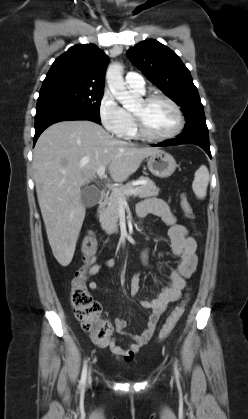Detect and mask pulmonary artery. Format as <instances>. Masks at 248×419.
I'll return each mask as SVG.
<instances>
[{"instance_id":"e3ab8cb5","label":"pulmonary artery","mask_w":248,"mask_h":419,"mask_svg":"<svg viewBox=\"0 0 248 419\" xmlns=\"http://www.w3.org/2000/svg\"><path fill=\"white\" fill-rule=\"evenodd\" d=\"M125 82L127 86L140 93L145 91V81L141 74L137 72H129L125 76Z\"/></svg>"}]
</instances>
